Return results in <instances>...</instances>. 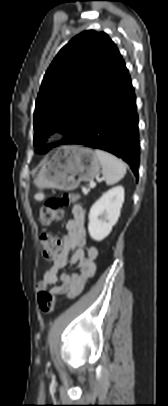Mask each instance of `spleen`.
<instances>
[{
	"label": "spleen",
	"mask_w": 168,
	"mask_h": 406,
	"mask_svg": "<svg viewBox=\"0 0 168 406\" xmlns=\"http://www.w3.org/2000/svg\"><path fill=\"white\" fill-rule=\"evenodd\" d=\"M95 154L101 163L102 174L107 185H113L124 177L126 166L120 159L99 149L95 150Z\"/></svg>",
	"instance_id": "3e777b00"
}]
</instances>
